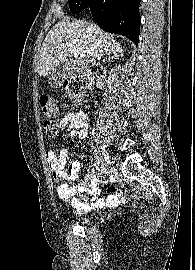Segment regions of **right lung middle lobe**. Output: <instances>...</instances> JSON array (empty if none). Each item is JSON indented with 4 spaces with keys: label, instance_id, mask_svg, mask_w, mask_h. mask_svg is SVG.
Listing matches in <instances>:
<instances>
[{
    "label": "right lung middle lobe",
    "instance_id": "obj_1",
    "mask_svg": "<svg viewBox=\"0 0 195 270\" xmlns=\"http://www.w3.org/2000/svg\"><path fill=\"white\" fill-rule=\"evenodd\" d=\"M83 1V2H82ZM88 0H68L70 11L73 14L79 13L88 7Z\"/></svg>",
    "mask_w": 195,
    "mask_h": 270
}]
</instances>
